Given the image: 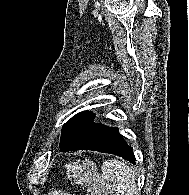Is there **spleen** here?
I'll return each instance as SVG.
<instances>
[{"label":"spleen","mask_w":189,"mask_h":195,"mask_svg":"<svg viewBox=\"0 0 189 195\" xmlns=\"http://www.w3.org/2000/svg\"><path fill=\"white\" fill-rule=\"evenodd\" d=\"M101 170L110 182L116 195H134L136 192V174L124 162L107 160L103 162Z\"/></svg>","instance_id":"spleen-1"}]
</instances>
